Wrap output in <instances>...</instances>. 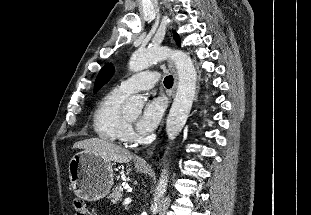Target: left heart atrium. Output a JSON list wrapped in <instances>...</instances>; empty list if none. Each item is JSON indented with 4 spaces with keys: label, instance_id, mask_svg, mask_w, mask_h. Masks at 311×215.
Instances as JSON below:
<instances>
[{
    "label": "left heart atrium",
    "instance_id": "1",
    "mask_svg": "<svg viewBox=\"0 0 311 215\" xmlns=\"http://www.w3.org/2000/svg\"><path fill=\"white\" fill-rule=\"evenodd\" d=\"M165 104L161 98H153L147 101L143 112L136 122L137 131L141 135L151 133L158 125L164 112Z\"/></svg>",
    "mask_w": 311,
    "mask_h": 215
}]
</instances>
